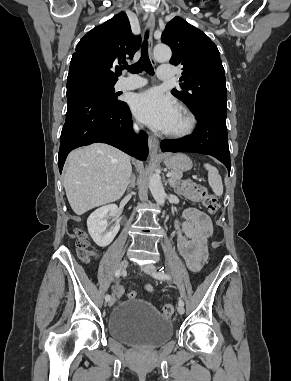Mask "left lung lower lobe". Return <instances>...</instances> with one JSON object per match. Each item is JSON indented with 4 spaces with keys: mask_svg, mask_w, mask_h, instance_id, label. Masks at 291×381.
I'll return each instance as SVG.
<instances>
[{
    "mask_svg": "<svg viewBox=\"0 0 291 381\" xmlns=\"http://www.w3.org/2000/svg\"><path fill=\"white\" fill-rule=\"evenodd\" d=\"M195 115L197 117L195 132L182 139L161 141V151L195 152L211 155L220 160L230 174L226 112L204 110Z\"/></svg>",
    "mask_w": 291,
    "mask_h": 381,
    "instance_id": "1",
    "label": "left lung lower lobe"
}]
</instances>
